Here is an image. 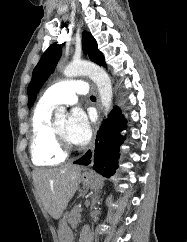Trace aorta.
Here are the masks:
<instances>
[{"mask_svg": "<svg viewBox=\"0 0 187 242\" xmlns=\"http://www.w3.org/2000/svg\"><path fill=\"white\" fill-rule=\"evenodd\" d=\"M64 75L66 77H75L79 75L89 76L98 87L105 114L110 111L112 103V84L109 75L103 68L87 61L72 62L65 67ZM65 112V107H58L55 116L57 118L62 117Z\"/></svg>", "mask_w": 187, "mask_h": 242, "instance_id": "aorta-1", "label": "aorta"}]
</instances>
